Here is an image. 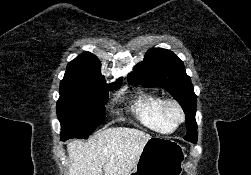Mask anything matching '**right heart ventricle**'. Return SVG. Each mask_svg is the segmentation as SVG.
I'll return each mask as SVG.
<instances>
[{
	"instance_id": "right-heart-ventricle-1",
	"label": "right heart ventricle",
	"mask_w": 251,
	"mask_h": 175,
	"mask_svg": "<svg viewBox=\"0 0 251 175\" xmlns=\"http://www.w3.org/2000/svg\"><path fill=\"white\" fill-rule=\"evenodd\" d=\"M163 101L161 95L140 93L128 109L145 128L160 134H171L175 129L162 117Z\"/></svg>"
}]
</instances>
